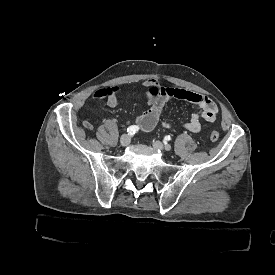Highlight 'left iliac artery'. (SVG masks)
<instances>
[{
	"instance_id": "left-iliac-artery-1",
	"label": "left iliac artery",
	"mask_w": 275,
	"mask_h": 275,
	"mask_svg": "<svg viewBox=\"0 0 275 275\" xmlns=\"http://www.w3.org/2000/svg\"><path fill=\"white\" fill-rule=\"evenodd\" d=\"M170 140H171V137L169 135L164 137V141H170Z\"/></svg>"
}]
</instances>
